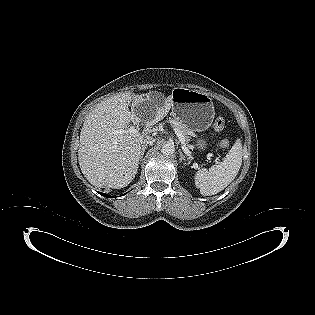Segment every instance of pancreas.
<instances>
[{
	"mask_svg": "<svg viewBox=\"0 0 315 315\" xmlns=\"http://www.w3.org/2000/svg\"><path fill=\"white\" fill-rule=\"evenodd\" d=\"M172 123L177 129H179L183 133V135L185 136L186 141L188 142L190 140L188 135H192L193 132L184 123H182L178 119H174L172 121Z\"/></svg>",
	"mask_w": 315,
	"mask_h": 315,
	"instance_id": "1",
	"label": "pancreas"
}]
</instances>
